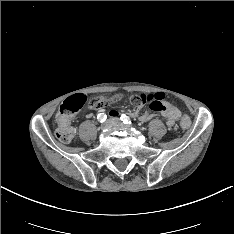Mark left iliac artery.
<instances>
[{"label":"left iliac artery","mask_w":234,"mask_h":234,"mask_svg":"<svg viewBox=\"0 0 234 234\" xmlns=\"http://www.w3.org/2000/svg\"><path fill=\"white\" fill-rule=\"evenodd\" d=\"M120 119L124 124H132L131 119L127 115H121Z\"/></svg>","instance_id":"left-iliac-artery-1"}]
</instances>
